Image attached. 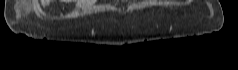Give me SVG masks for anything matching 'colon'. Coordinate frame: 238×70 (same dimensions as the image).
<instances>
[{
    "instance_id": "5ec220e1",
    "label": "colon",
    "mask_w": 238,
    "mask_h": 70,
    "mask_svg": "<svg viewBox=\"0 0 238 70\" xmlns=\"http://www.w3.org/2000/svg\"><path fill=\"white\" fill-rule=\"evenodd\" d=\"M64 2H70V1H72V0H63ZM43 3L44 4H48L49 3V0H43Z\"/></svg>"
}]
</instances>
